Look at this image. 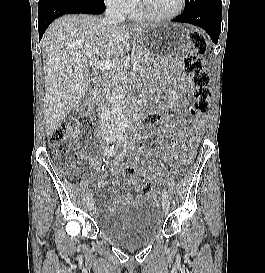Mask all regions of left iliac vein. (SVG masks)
Returning <instances> with one entry per match:
<instances>
[{"instance_id": "1", "label": "left iliac vein", "mask_w": 265, "mask_h": 273, "mask_svg": "<svg viewBox=\"0 0 265 273\" xmlns=\"http://www.w3.org/2000/svg\"><path fill=\"white\" fill-rule=\"evenodd\" d=\"M162 207L165 212H168L170 209V201L168 198H164L162 201Z\"/></svg>"}]
</instances>
